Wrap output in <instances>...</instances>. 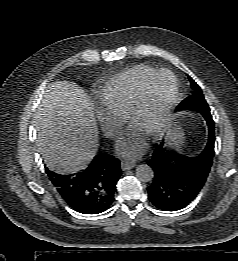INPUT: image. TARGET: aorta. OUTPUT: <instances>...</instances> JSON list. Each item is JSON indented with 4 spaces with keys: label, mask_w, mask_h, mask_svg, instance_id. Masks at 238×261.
Wrapping results in <instances>:
<instances>
[{
    "label": "aorta",
    "mask_w": 238,
    "mask_h": 261,
    "mask_svg": "<svg viewBox=\"0 0 238 261\" xmlns=\"http://www.w3.org/2000/svg\"><path fill=\"white\" fill-rule=\"evenodd\" d=\"M136 177L141 182H149L154 177L153 169L147 164L138 165L136 168Z\"/></svg>",
    "instance_id": "1"
}]
</instances>
